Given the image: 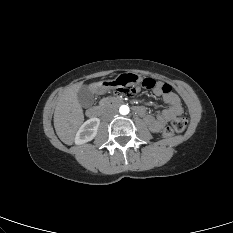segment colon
Masks as SVG:
<instances>
[{
    "mask_svg": "<svg viewBox=\"0 0 233 233\" xmlns=\"http://www.w3.org/2000/svg\"><path fill=\"white\" fill-rule=\"evenodd\" d=\"M156 85H157V82L152 78H145L142 81V86L145 88H148V89H152ZM161 89L163 92H167L171 88L168 84H163L161 86ZM118 93L122 94V95L131 96V95L136 93V88H132V87L127 85V87L120 89V91H118ZM187 124H188V120L186 117H184V116L176 117L175 119L172 120L171 124L164 129L163 135L165 137H170V136L174 135L175 133L182 132L187 127Z\"/></svg>",
    "mask_w": 233,
    "mask_h": 233,
    "instance_id": "obj_1",
    "label": "colon"
}]
</instances>
